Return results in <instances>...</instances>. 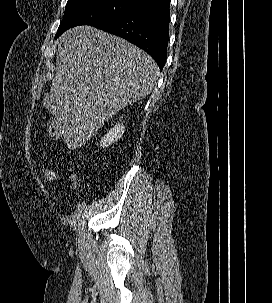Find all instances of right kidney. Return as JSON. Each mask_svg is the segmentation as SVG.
<instances>
[{
	"instance_id": "right-kidney-1",
	"label": "right kidney",
	"mask_w": 272,
	"mask_h": 303,
	"mask_svg": "<svg viewBox=\"0 0 272 303\" xmlns=\"http://www.w3.org/2000/svg\"><path fill=\"white\" fill-rule=\"evenodd\" d=\"M124 131L125 127L123 126V124L118 123L113 128H111L106 135L103 136L100 141V146L105 148L112 145L122 137Z\"/></svg>"
}]
</instances>
